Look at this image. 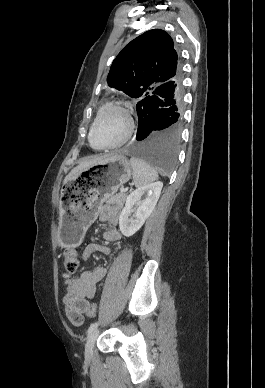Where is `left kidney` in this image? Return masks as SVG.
I'll list each match as a JSON object with an SVG mask.
<instances>
[{
  "label": "left kidney",
  "instance_id": "left-kidney-1",
  "mask_svg": "<svg viewBox=\"0 0 265 388\" xmlns=\"http://www.w3.org/2000/svg\"><path fill=\"white\" fill-rule=\"evenodd\" d=\"M162 188V182H155V184H147V186L137 188V190H134V192L127 196L125 208H123L119 218L120 232H122L123 236L130 238V236H133L142 228L145 220L153 212ZM133 204H137L138 208L136 214H133V218H129V216H132V212H134L132 210Z\"/></svg>",
  "mask_w": 265,
  "mask_h": 388
}]
</instances>
